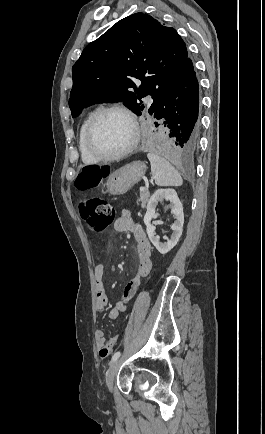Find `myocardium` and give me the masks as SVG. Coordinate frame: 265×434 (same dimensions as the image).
<instances>
[{
    "mask_svg": "<svg viewBox=\"0 0 265 434\" xmlns=\"http://www.w3.org/2000/svg\"><path fill=\"white\" fill-rule=\"evenodd\" d=\"M112 111H120L130 119L133 126V138L130 145L124 151L117 154H106L97 146L95 141V136L97 134V126L101 117L104 114ZM140 134L141 131H140L137 118L135 114L128 107L122 104H112V105L103 106L95 111V113L93 114L90 120L88 126V132L85 137L86 148L88 152L99 161H103V162L118 161L129 156L136 150L140 141Z\"/></svg>",
    "mask_w": 265,
    "mask_h": 434,
    "instance_id": "f54148a6",
    "label": "myocardium"
}]
</instances>
